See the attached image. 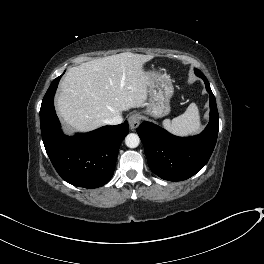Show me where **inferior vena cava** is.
<instances>
[{
	"instance_id": "1",
	"label": "inferior vena cava",
	"mask_w": 264,
	"mask_h": 264,
	"mask_svg": "<svg viewBox=\"0 0 264 264\" xmlns=\"http://www.w3.org/2000/svg\"><path fill=\"white\" fill-rule=\"evenodd\" d=\"M123 121V118L121 115H116L110 119H107L105 121L106 124H109V125H117V124H121Z\"/></svg>"
}]
</instances>
